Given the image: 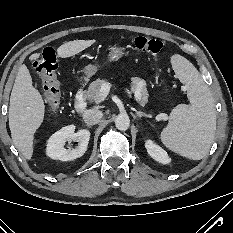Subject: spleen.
<instances>
[{"mask_svg": "<svg viewBox=\"0 0 233 233\" xmlns=\"http://www.w3.org/2000/svg\"><path fill=\"white\" fill-rule=\"evenodd\" d=\"M172 66L185 84L190 104H179L172 110L160 138L173 152L191 160H201L207 155L215 136L214 99L198 70L186 58L174 55Z\"/></svg>", "mask_w": 233, "mask_h": 233, "instance_id": "3e777b00", "label": "spleen"}]
</instances>
